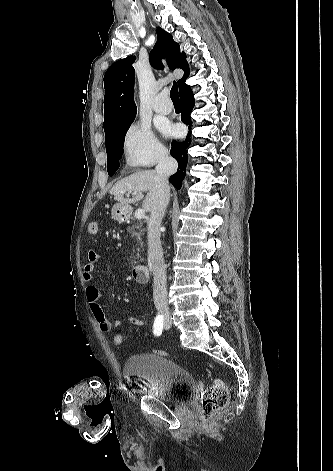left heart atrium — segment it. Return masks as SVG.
I'll return each mask as SVG.
<instances>
[{
    "label": "left heart atrium",
    "mask_w": 333,
    "mask_h": 471,
    "mask_svg": "<svg viewBox=\"0 0 333 471\" xmlns=\"http://www.w3.org/2000/svg\"><path fill=\"white\" fill-rule=\"evenodd\" d=\"M164 131L167 132V133H169V132H172L173 129H171V128H169V127L166 126V127H164Z\"/></svg>",
    "instance_id": "1"
}]
</instances>
